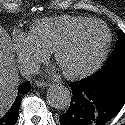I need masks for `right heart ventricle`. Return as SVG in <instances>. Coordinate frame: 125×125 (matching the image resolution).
<instances>
[{"mask_svg":"<svg viewBox=\"0 0 125 125\" xmlns=\"http://www.w3.org/2000/svg\"><path fill=\"white\" fill-rule=\"evenodd\" d=\"M89 19L69 15L42 18L32 24L30 34L42 50L50 53L54 45L71 29Z\"/></svg>","mask_w":125,"mask_h":125,"instance_id":"1","label":"right heart ventricle"}]
</instances>
